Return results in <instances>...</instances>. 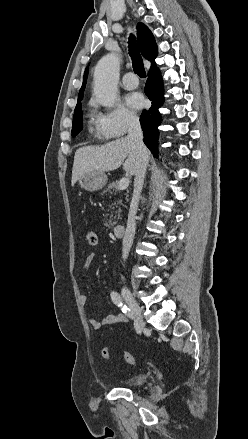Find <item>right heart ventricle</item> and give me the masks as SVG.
Wrapping results in <instances>:
<instances>
[{"mask_svg": "<svg viewBox=\"0 0 248 439\" xmlns=\"http://www.w3.org/2000/svg\"><path fill=\"white\" fill-rule=\"evenodd\" d=\"M90 117H91V120H90L89 123H90V126L92 127L94 125L93 114H91Z\"/></svg>", "mask_w": 248, "mask_h": 439, "instance_id": "e07e8e85", "label": "right heart ventricle"}]
</instances>
